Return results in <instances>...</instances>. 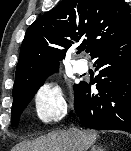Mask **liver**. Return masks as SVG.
Returning <instances> with one entry per match:
<instances>
[{
	"label": "liver",
	"instance_id": "6515ba94",
	"mask_svg": "<svg viewBox=\"0 0 131 151\" xmlns=\"http://www.w3.org/2000/svg\"><path fill=\"white\" fill-rule=\"evenodd\" d=\"M80 140L70 131L52 132L32 142H22L12 151H86L99 137L96 131H81Z\"/></svg>",
	"mask_w": 131,
	"mask_h": 151
}]
</instances>
